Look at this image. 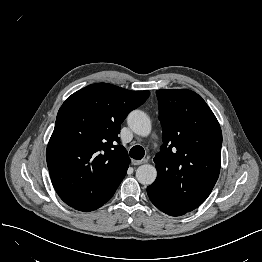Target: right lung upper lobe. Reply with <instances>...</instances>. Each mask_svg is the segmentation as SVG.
<instances>
[{
	"label": "right lung upper lobe",
	"mask_w": 262,
	"mask_h": 262,
	"mask_svg": "<svg viewBox=\"0 0 262 262\" xmlns=\"http://www.w3.org/2000/svg\"><path fill=\"white\" fill-rule=\"evenodd\" d=\"M149 95L97 83L62 104L46 157L53 186L67 205L93 208L114 195L130 163L118 144L121 123Z\"/></svg>",
	"instance_id": "1"
}]
</instances>
